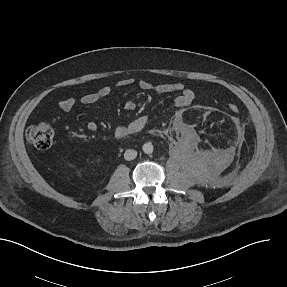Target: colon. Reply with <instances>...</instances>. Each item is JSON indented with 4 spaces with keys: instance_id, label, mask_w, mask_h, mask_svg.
Wrapping results in <instances>:
<instances>
[{
    "instance_id": "1",
    "label": "colon",
    "mask_w": 287,
    "mask_h": 287,
    "mask_svg": "<svg viewBox=\"0 0 287 287\" xmlns=\"http://www.w3.org/2000/svg\"><path fill=\"white\" fill-rule=\"evenodd\" d=\"M228 108L233 113L239 112L236 103H230ZM26 137L36 149L46 150L52 145L54 130L49 123L39 122L28 127Z\"/></svg>"
}]
</instances>
